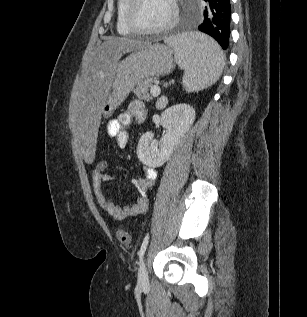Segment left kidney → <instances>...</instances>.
<instances>
[{
  "label": "left kidney",
  "instance_id": "5707ae66",
  "mask_svg": "<svg viewBox=\"0 0 307 317\" xmlns=\"http://www.w3.org/2000/svg\"><path fill=\"white\" fill-rule=\"evenodd\" d=\"M195 116V110L184 103L165 109L161 114V124L166 129L165 135L158 142L153 138L152 132L144 133L137 146L138 159L149 167L162 166L189 131Z\"/></svg>",
  "mask_w": 307,
  "mask_h": 317
}]
</instances>
